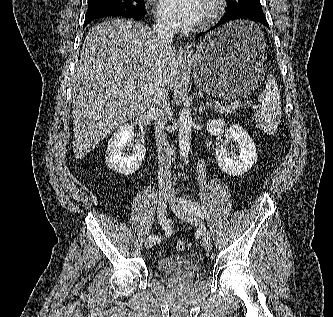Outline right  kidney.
<instances>
[{
    "label": "right kidney",
    "instance_id": "ca27d5eb",
    "mask_svg": "<svg viewBox=\"0 0 333 317\" xmlns=\"http://www.w3.org/2000/svg\"><path fill=\"white\" fill-rule=\"evenodd\" d=\"M134 137V127L129 124L120 126L108 142L105 162L117 173L125 176L134 174L141 166L146 148L143 144H136L133 153L125 155L124 149Z\"/></svg>",
    "mask_w": 333,
    "mask_h": 317
}]
</instances>
